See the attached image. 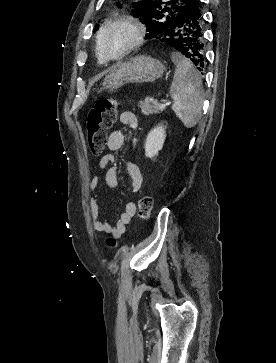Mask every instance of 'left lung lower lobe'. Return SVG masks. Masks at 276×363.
I'll list each match as a JSON object with an SVG mask.
<instances>
[{"instance_id": "obj_1", "label": "left lung lower lobe", "mask_w": 276, "mask_h": 363, "mask_svg": "<svg viewBox=\"0 0 276 363\" xmlns=\"http://www.w3.org/2000/svg\"><path fill=\"white\" fill-rule=\"evenodd\" d=\"M202 15L201 0H189L155 37L188 57L197 71H202L205 63Z\"/></svg>"}]
</instances>
